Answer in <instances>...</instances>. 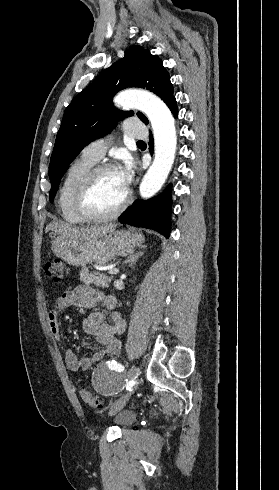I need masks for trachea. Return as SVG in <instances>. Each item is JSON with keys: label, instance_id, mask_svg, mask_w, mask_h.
Wrapping results in <instances>:
<instances>
[{"label": "trachea", "instance_id": "1", "mask_svg": "<svg viewBox=\"0 0 279 490\" xmlns=\"http://www.w3.org/2000/svg\"><path fill=\"white\" fill-rule=\"evenodd\" d=\"M137 143H145V142H143V140H139V142H137Z\"/></svg>", "mask_w": 279, "mask_h": 490}]
</instances>
